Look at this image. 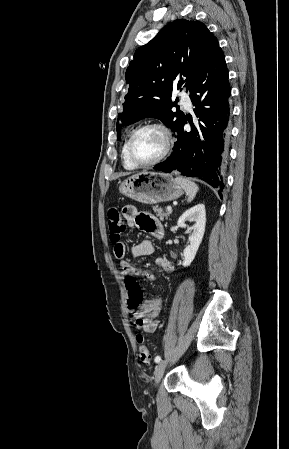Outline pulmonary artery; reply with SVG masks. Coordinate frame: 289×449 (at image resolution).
Masks as SVG:
<instances>
[{
	"mask_svg": "<svg viewBox=\"0 0 289 449\" xmlns=\"http://www.w3.org/2000/svg\"><path fill=\"white\" fill-rule=\"evenodd\" d=\"M181 101H182V104L184 105V107H185L186 109H188V110L191 109V107H192V102H191V98H190V96H189L188 93H185V92H184V93L182 94Z\"/></svg>",
	"mask_w": 289,
	"mask_h": 449,
	"instance_id": "1",
	"label": "pulmonary artery"
}]
</instances>
